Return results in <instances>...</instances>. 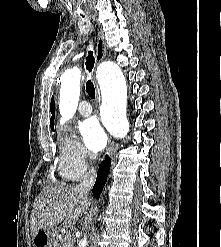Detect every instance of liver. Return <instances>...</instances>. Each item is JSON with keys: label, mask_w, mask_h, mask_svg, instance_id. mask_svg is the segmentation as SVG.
Masks as SVG:
<instances>
[{"label": "liver", "mask_w": 221, "mask_h": 247, "mask_svg": "<svg viewBox=\"0 0 221 247\" xmlns=\"http://www.w3.org/2000/svg\"><path fill=\"white\" fill-rule=\"evenodd\" d=\"M91 204L87 195L73 186H46L35 199L31 215V235L64 222L73 227Z\"/></svg>", "instance_id": "liver-1"}]
</instances>
